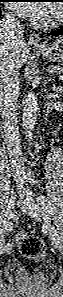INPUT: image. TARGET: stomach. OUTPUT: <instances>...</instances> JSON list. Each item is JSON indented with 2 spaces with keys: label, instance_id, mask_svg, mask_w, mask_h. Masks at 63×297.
<instances>
[{
  "label": "stomach",
  "instance_id": "0dacf381",
  "mask_svg": "<svg viewBox=\"0 0 63 297\" xmlns=\"http://www.w3.org/2000/svg\"><path fill=\"white\" fill-rule=\"evenodd\" d=\"M36 51L45 59L63 65V39H58L55 43L44 49L36 48Z\"/></svg>",
  "mask_w": 63,
  "mask_h": 297
}]
</instances>
